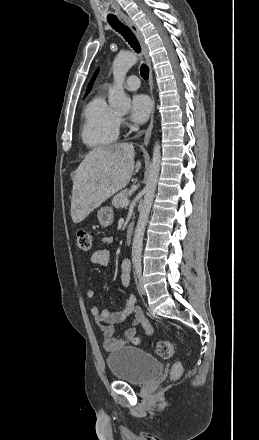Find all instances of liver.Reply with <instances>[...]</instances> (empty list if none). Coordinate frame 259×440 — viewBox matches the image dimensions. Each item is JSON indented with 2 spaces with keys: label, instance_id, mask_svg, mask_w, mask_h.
<instances>
[{
  "label": "liver",
  "instance_id": "obj_1",
  "mask_svg": "<svg viewBox=\"0 0 259 440\" xmlns=\"http://www.w3.org/2000/svg\"><path fill=\"white\" fill-rule=\"evenodd\" d=\"M131 143H118L90 151L80 163L73 178L71 217L83 221L94 209L124 188L141 168L134 162Z\"/></svg>",
  "mask_w": 259,
  "mask_h": 440
}]
</instances>
